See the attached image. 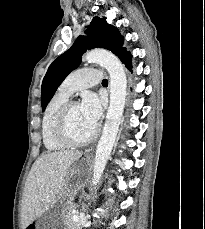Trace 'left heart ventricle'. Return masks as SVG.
<instances>
[{"instance_id":"1","label":"left heart ventricle","mask_w":205,"mask_h":229,"mask_svg":"<svg viewBox=\"0 0 205 229\" xmlns=\"http://www.w3.org/2000/svg\"><path fill=\"white\" fill-rule=\"evenodd\" d=\"M95 125L83 114L80 105H75L69 114L68 131L72 138L81 140L91 134Z\"/></svg>"}]
</instances>
